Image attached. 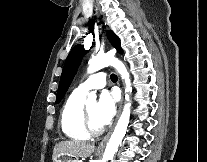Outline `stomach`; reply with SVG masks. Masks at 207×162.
Segmentation results:
<instances>
[{
	"label": "stomach",
	"mask_w": 207,
	"mask_h": 162,
	"mask_svg": "<svg viewBox=\"0 0 207 162\" xmlns=\"http://www.w3.org/2000/svg\"><path fill=\"white\" fill-rule=\"evenodd\" d=\"M53 162H79L77 159H72L66 155H60L52 159Z\"/></svg>",
	"instance_id": "obj_1"
}]
</instances>
